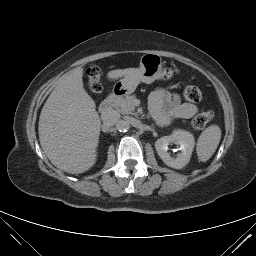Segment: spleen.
<instances>
[{
    "instance_id": "obj_1",
    "label": "spleen",
    "mask_w": 256,
    "mask_h": 256,
    "mask_svg": "<svg viewBox=\"0 0 256 256\" xmlns=\"http://www.w3.org/2000/svg\"><path fill=\"white\" fill-rule=\"evenodd\" d=\"M221 139V130L218 125L207 127L197 141V155L200 161L206 162L216 151Z\"/></svg>"
}]
</instances>
